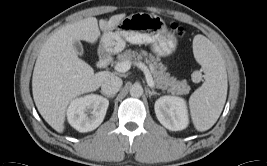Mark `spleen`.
<instances>
[{
    "label": "spleen",
    "mask_w": 267,
    "mask_h": 166,
    "mask_svg": "<svg viewBox=\"0 0 267 166\" xmlns=\"http://www.w3.org/2000/svg\"><path fill=\"white\" fill-rule=\"evenodd\" d=\"M193 53L202 66L205 81L190 96L189 107L195 128L210 129L218 120L227 97V73L224 61L213 43L202 35L193 40Z\"/></svg>",
    "instance_id": "1"
}]
</instances>
